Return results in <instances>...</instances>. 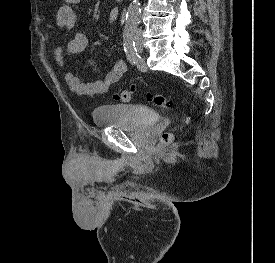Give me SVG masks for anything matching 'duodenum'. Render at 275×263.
<instances>
[{
    "label": "duodenum",
    "mask_w": 275,
    "mask_h": 263,
    "mask_svg": "<svg viewBox=\"0 0 275 263\" xmlns=\"http://www.w3.org/2000/svg\"><path fill=\"white\" fill-rule=\"evenodd\" d=\"M117 2H123L124 0H116Z\"/></svg>",
    "instance_id": "obj_1"
}]
</instances>
